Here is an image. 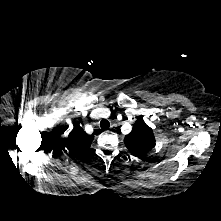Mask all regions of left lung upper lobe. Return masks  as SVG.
I'll list each match as a JSON object with an SVG mask.
<instances>
[{"mask_svg": "<svg viewBox=\"0 0 221 221\" xmlns=\"http://www.w3.org/2000/svg\"><path fill=\"white\" fill-rule=\"evenodd\" d=\"M124 143L128 150L136 156L149 152L155 146L153 131L142 117H138L133 125L132 132L125 136Z\"/></svg>", "mask_w": 221, "mask_h": 221, "instance_id": "1", "label": "left lung upper lobe"}]
</instances>
